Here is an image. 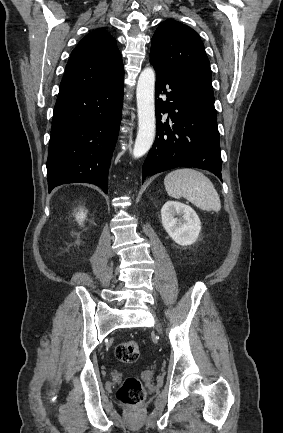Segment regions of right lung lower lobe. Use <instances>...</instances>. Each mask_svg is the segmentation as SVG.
Instances as JSON below:
<instances>
[{"label": "right lung lower lobe", "instance_id": "right-lung-lower-lobe-1", "mask_svg": "<svg viewBox=\"0 0 283 433\" xmlns=\"http://www.w3.org/2000/svg\"><path fill=\"white\" fill-rule=\"evenodd\" d=\"M123 77L77 93L58 95L47 160L49 192L66 183H91L108 192V170L123 103Z\"/></svg>", "mask_w": 283, "mask_h": 433}]
</instances>
